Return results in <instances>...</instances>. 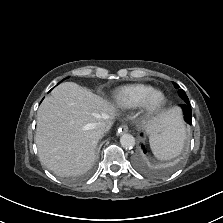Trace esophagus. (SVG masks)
<instances>
[{"label": "esophagus", "mask_w": 223, "mask_h": 223, "mask_svg": "<svg viewBox=\"0 0 223 223\" xmlns=\"http://www.w3.org/2000/svg\"><path fill=\"white\" fill-rule=\"evenodd\" d=\"M128 132V126L127 125H122L119 127L117 134L122 135L123 133Z\"/></svg>", "instance_id": "obj_1"}]
</instances>
